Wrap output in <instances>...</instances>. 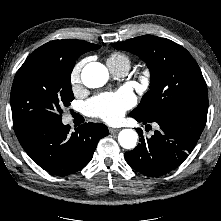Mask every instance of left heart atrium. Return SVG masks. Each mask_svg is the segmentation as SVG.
Here are the masks:
<instances>
[{"instance_id": "obj_1", "label": "left heart atrium", "mask_w": 221, "mask_h": 221, "mask_svg": "<svg viewBox=\"0 0 221 221\" xmlns=\"http://www.w3.org/2000/svg\"><path fill=\"white\" fill-rule=\"evenodd\" d=\"M135 103V97L127 90L99 94L87 102V111L94 117L113 123Z\"/></svg>"}]
</instances>
